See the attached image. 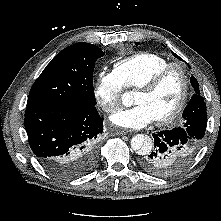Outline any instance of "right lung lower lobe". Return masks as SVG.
I'll return each instance as SVG.
<instances>
[{"label":"right lung lower lobe","mask_w":221,"mask_h":221,"mask_svg":"<svg viewBox=\"0 0 221 221\" xmlns=\"http://www.w3.org/2000/svg\"><path fill=\"white\" fill-rule=\"evenodd\" d=\"M25 129L39 162L57 177L77 178L97 163L103 119L94 105L27 106Z\"/></svg>","instance_id":"1"}]
</instances>
